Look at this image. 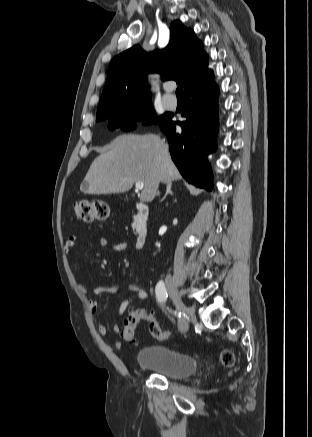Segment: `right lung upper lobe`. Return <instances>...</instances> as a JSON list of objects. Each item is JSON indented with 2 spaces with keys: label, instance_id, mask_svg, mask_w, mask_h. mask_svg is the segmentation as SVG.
Returning a JSON list of instances; mask_svg holds the SVG:
<instances>
[{
  "label": "right lung upper lobe",
  "instance_id": "cb5924a9",
  "mask_svg": "<svg viewBox=\"0 0 312 437\" xmlns=\"http://www.w3.org/2000/svg\"><path fill=\"white\" fill-rule=\"evenodd\" d=\"M164 80L172 79L184 85V92L212 74L208 56L193 30L175 20L170 26V42L163 50L150 55L139 45L120 53L111 61L107 82L97 109V118L131 104L150 102L146 75L151 68Z\"/></svg>",
  "mask_w": 312,
  "mask_h": 437
}]
</instances>
